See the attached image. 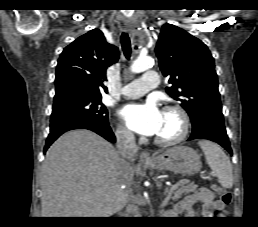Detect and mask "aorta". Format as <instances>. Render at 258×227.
Listing matches in <instances>:
<instances>
[{
	"label": "aorta",
	"mask_w": 258,
	"mask_h": 227,
	"mask_svg": "<svg viewBox=\"0 0 258 227\" xmlns=\"http://www.w3.org/2000/svg\"><path fill=\"white\" fill-rule=\"evenodd\" d=\"M152 65L153 60L151 57H139L133 62L130 69L133 73H140L149 69L150 67H152Z\"/></svg>",
	"instance_id": "762f6f07"
}]
</instances>
